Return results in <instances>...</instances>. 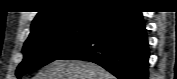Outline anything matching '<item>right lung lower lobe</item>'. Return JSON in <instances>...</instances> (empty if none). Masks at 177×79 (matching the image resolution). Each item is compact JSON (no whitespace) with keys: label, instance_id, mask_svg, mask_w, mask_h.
I'll use <instances>...</instances> for the list:
<instances>
[{"label":"right lung lower lobe","instance_id":"obj_1","mask_svg":"<svg viewBox=\"0 0 177 79\" xmlns=\"http://www.w3.org/2000/svg\"><path fill=\"white\" fill-rule=\"evenodd\" d=\"M62 59L94 62L119 79H147L149 48L142 13L126 6L106 10Z\"/></svg>","mask_w":177,"mask_h":79}]
</instances>
